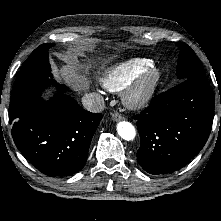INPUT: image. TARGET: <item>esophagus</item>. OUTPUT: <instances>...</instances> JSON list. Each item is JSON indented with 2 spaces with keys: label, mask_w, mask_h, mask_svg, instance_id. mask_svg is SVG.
Wrapping results in <instances>:
<instances>
[{
  "label": "esophagus",
  "mask_w": 221,
  "mask_h": 221,
  "mask_svg": "<svg viewBox=\"0 0 221 221\" xmlns=\"http://www.w3.org/2000/svg\"><path fill=\"white\" fill-rule=\"evenodd\" d=\"M112 119H113V121H120V120L124 119V116L118 112H114L112 114Z\"/></svg>",
  "instance_id": "esophagus-1"
}]
</instances>
